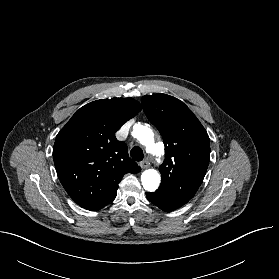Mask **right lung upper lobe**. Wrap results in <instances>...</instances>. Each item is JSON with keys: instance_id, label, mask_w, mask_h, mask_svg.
I'll use <instances>...</instances> for the list:
<instances>
[{"instance_id": "obj_1", "label": "right lung upper lobe", "mask_w": 279, "mask_h": 279, "mask_svg": "<svg viewBox=\"0 0 279 279\" xmlns=\"http://www.w3.org/2000/svg\"><path fill=\"white\" fill-rule=\"evenodd\" d=\"M141 109L133 98L96 100L81 107L58 133L53 147L57 175L82 208L102 209L115 199L123 175L140 172L115 133Z\"/></svg>"}]
</instances>
